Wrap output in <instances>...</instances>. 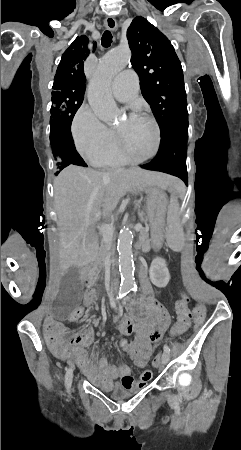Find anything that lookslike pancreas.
I'll use <instances>...</instances> for the list:
<instances>
[{
  "mask_svg": "<svg viewBox=\"0 0 241 450\" xmlns=\"http://www.w3.org/2000/svg\"><path fill=\"white\" fill-rule=\"evenodd\" d=\"M148 228L147 227H143L142 226V231H138L141 232V237L138 239L143 246H145L146 250H152V245H151V238L148 236ZM113 246V240H102L101 244H100V248H99V252H98V258H97V264L99 266V268H104L105 266V262H106V258L107 256H111L112 254V250H110V248H112ZM91 276V282H89L90 286H93V284H95L96 280H94V276L93 274H95V272H90Z\"/></svg>",
  "mask_w": 241,
  "mask_h": 450,
  "instance_id": "pancreas-1",
  "label": "pancreas"
}]
</instances>
